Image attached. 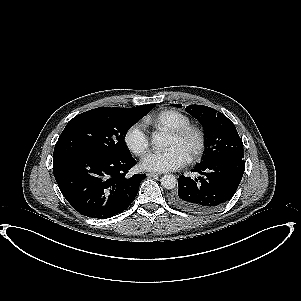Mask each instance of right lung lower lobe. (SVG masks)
<instances>
[{
	"label": "right lung lower lobe",
	"instance_id": "1",
	"mask_svg": "<svg viewBox=\"0 0 301 301\" xmlns=\"http://www.w3.org/2000/svg\"><path fill=\"white\" fill-rule=\"evenodd\" d=\"M136 164L130 155L74 152L53 159V173L71 206L80 214L105 219L126 210L146 175L126 177Z\"/></svg>",
	"mask_w": 301,
	"mask_h": 301
}]
</instances>
